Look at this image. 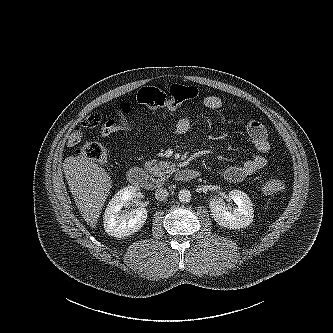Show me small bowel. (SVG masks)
<instances>
[{"mask_svg": "<svg viewBox=\"0 0 333 333\" xmlns=\"http://www.w3.org/2000/svg\"><path fill=\"white\" fill-rule=\"evenodd\" d=\"M201 105L209 110H219L224 106L222 98L216 95L205 96ZM102 118L100 112H96L87 117L81 124V127L75 129L68 137V145L74 146L78 144L82 137V128L95 127ZM192 126V118L184 116L180 118L175 124L172 133L176 136H182L189 132ZM132 123L126 120H108L100 129L99 136L106 138L119 130L132 129ZM246 131L250 137L256 154L238 165H231L224 171V177L230 182H239L263 169L267 164V154L270 150V143L268 139V132L266 127L257 120L250 121L246 126Z\"/></svg>", "mask_w": 333, "mask_h": 333, "instance_id": "small-bowel-1", "label": "small bowel"}]
</instances>
